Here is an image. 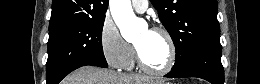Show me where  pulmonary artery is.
<instances>
[{
    "label": "pulmonary artery",
    "instance_id": "1",
    "mask_svg": "<svg viewBox=\"0 0 260 84\" xmlns=\"http://www.w3.org/2000/svg\"><path fill=\"white\" fill-rule=\"evenodd\" d=\"M133 9L138 13H143L148 7V1H131Z\"/></svg>",
    "mask_w": 260,
    "mask_h": 84
}]
</instances>
